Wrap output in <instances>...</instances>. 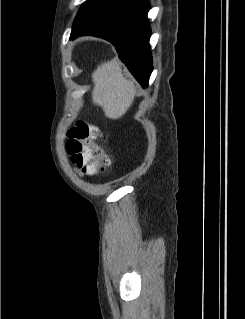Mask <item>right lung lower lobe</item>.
Masks as SVG:
<instances>
[{"mask_svg": "<svg viewBox=\"0 0 245 319\" xmlns=\"http://www.w3.org/2000/svg\"><path fill=\"white\" fill-rule=\"evenodd\" d=\"M149 9L147 0H131L107 17L72 32L70 38L93 35L110 41L137 81L147 87L153 70L149 46L151 29L147 19Z\"/></svg>", "mask_w": 245, "mask_h": 319, "instance_id": "right-lung-lower-lobe-1", "label": "right lung lower lobe"}]
</instances>
